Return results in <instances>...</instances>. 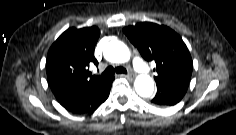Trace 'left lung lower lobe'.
<instances>
[{
  "label": "left lung lower lobe",
  "instance_id": "1",
  "mask_svg": "<svg viewBox=\"0 0 236 135\" xmlns=\"http://www.w3.org/2000/svg\"><path fill=\"white\" fill-rule=\"evenodd\" d=\"M189 81H171L157 84V93L151 102L159 106H173L185 95Z\"/></svg>",
  "mask_w": 236,
  "mask_h": 135
}]
</instances>
